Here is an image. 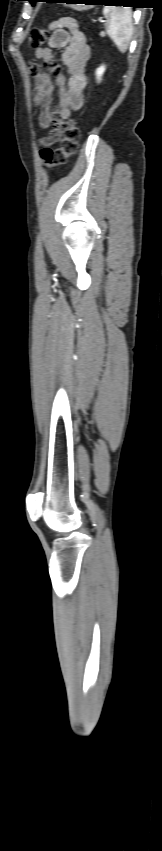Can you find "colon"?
Masks as SVG:
<instances>
[{"instance_id": "obj_1", "label": "colon", "mask_w": 162, "mask_h": 851, "mask_svg": "<svg viewBox=\"0 0 162 851\" xmlns=\"http://www.w3.org/2000/svg\"><path fill=\"white\" fill-rule=\"evenodd\" d=\"M47 38L48 32L45 29L34 28L30 32L28 44L31 48H39ZM54 133L59 136V146L44 147L40 150V157L49 168L65 164L68 158L76 153L80 138V130L75 120L58 124Z\"/></svg>"}]
</instances>
